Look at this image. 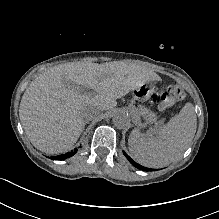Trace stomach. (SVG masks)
<instances>
[{"label": "stomach", "instance_id": "0dacf381", "mask_svg": "<svg viewBox=\"0 0 219 219\" xmlns=\"http://www.w3.org/2000/svg\"><path fill=\"white\" fill-rule=\"evenodd\" d=\"M155 86L152 83H144L133 90L134 98L144 102L154 93ZM140 113L148 123L156 122L157 115L145 106L140 107Z\"/></svg>", "mask_w": 219, "mask_h": 219}]
</instances>
